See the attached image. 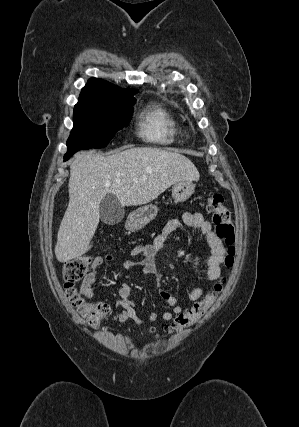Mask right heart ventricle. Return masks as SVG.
Here are the masks:
<instances>
[{
  "label": "right heart ventricle",
  "mask_w": 299,
  "mask_h": 427,
  "mask_svg": "<svg viewBox=\"0 0 299 427\" xmlns=\"http://www.w3.org/2000/svg\"><path fill=\"white\" fill-rule=\"evenodd\" d=\"M138 135L147 143L157 146L173 144L179 135V124L165 105L152 102L145 105L138 115Z\"/></svg>",
  "instance_id": "right-heart-ventricle-1"
}]
</instances>
